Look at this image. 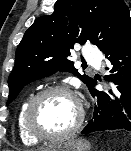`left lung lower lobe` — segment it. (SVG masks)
<instances>
[{
    "instance_id": "1",
    "label": "left lung lower lobe",
    "mask_w": 131,
    "mask_h": 151,
    "mask_svg": "<svg viewBox=\"0 0 131 151\" xmlns=\"http://www.w3.org/2000/svg\"><path fill=\"white\" fill-rule=\"evenodd\" d=\"M111 62V80L114 89L108 93L98 91L96 81L89 86L93 97L97 96L93 118L82 130V134L105 130L131 131V35L104 52Z\"/></svg>"
}]
</instances>
